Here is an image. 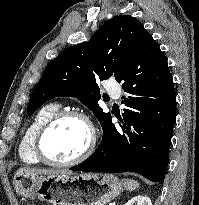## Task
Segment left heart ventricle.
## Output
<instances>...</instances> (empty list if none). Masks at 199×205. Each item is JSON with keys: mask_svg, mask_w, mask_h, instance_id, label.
<instances>
[{"mask_svg": "<svg viewBox=\"0 0 199 205\" xmlns=\"http://www.w3.org/2000/svg\"><path fill=\"white\" fill-rule=\"evenodd\" d=\"M88 128L80 119L66 118L55 124L45 135V154L56 161L78 156L88 143Z\"/></svg>", "mask_w": 199, "mask_h": 205, "instance_id": "b2bd125f", "label": "left heart ventricle"}]
</instances>
